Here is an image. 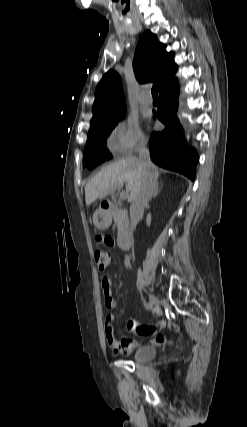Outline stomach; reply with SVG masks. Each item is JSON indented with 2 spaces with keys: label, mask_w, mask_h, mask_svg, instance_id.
Instances as JSON below:
<instances>
[{
  "label": "stomach",
  "mask_w": 247,
  "mask_h": 427,
  "mask_svg": "<svg viewBox=\"0 0 247 427\" xmlns=\"http://www.w3.org/2000/svg\"><path fill=\"white\" fill-rule=\"evenodd\" d=\"M93 223L100 230L107 229L111 224L110 212L99 209L93 215Z\"/></svg>",
  "instance_id": "1"
}]
</instances>
